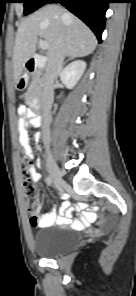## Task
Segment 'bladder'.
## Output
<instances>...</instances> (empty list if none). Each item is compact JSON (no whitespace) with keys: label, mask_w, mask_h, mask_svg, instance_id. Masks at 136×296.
I'll return each instance as SVG.
<instances>
[{"label":"bladder","mask_w":136,"mask_h":296,"mask_svg":"<svg viewBox=\"0 0 136 296\" xmlns=\"http://www.w3.org/2000/svg\"><path fill=\"white\" fill-rule=\"evenodd\" d=\"M78 243L77 233L67 227H48L36 231L32 236V246L35 253L45 258L62 256Z\"/></svg>","instance_id":"obj_1"}]
</instances>
